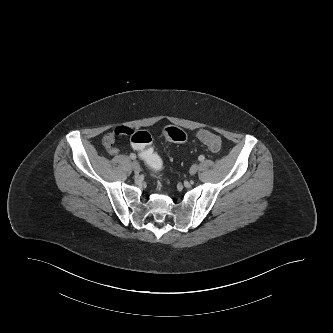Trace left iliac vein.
<instances>
[{"mask_svg": "<svg viewBox=\"0 0 333 333\" xmlns=\"http://www.w3.org/2000/svg\"><path fill=\"white\" fill-rule=\"evenodd\" d=\"M198 169H199L198 165L194 164V165L191 166L189 172H190L191 175H194V174L197 173Z\"/></svg>", "mask_w": 333, "mask_h": 333, "instance_id": "1", "label": "left iliac vein"}]
</instances>
